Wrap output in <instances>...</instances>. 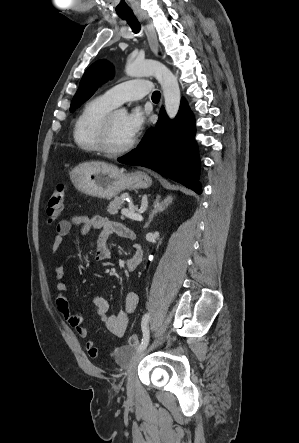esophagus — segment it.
<instances>
[{"instance_id":"obj_1","label":"esophagus","mask_w":299,"mask_h":443,"mask_svg":"<svg viewBox=\"0 0 299 443\" xmlns=\"http://www.w3.org/2000/svg\"><path fill=\"white\" fill-rule=\"evenodd\" d=\"M138 20L144 25V30L147 35V39L149 42V46L151 50L156 54L159 50V43L157 40V35L155 29L151 22L149 21L146 13L142 10H138L135 12Z\"/></svg>"}]
</instances>
